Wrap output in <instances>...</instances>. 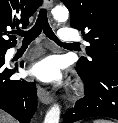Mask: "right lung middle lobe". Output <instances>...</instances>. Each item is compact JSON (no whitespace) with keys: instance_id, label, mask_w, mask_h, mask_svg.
Instances as JSON below:
<instances>
[{"instance_id":"obj_1","label":"right lung middle lobe","mask_w":118,"mask_h":123,"mask_svg":"<svg viewBox=\"0 0 118 123\" xmlns=\"http://www.w3.org/2000/svg\"><path fill=\"white\" fill-rule=\"evenodd\" d=\"M6 51H0V60L4 58Z\"/></svg>"}]
</instances>
